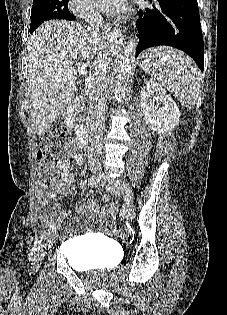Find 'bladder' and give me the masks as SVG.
<instances>
[{
	"mask_svg": "<svg viewBox=\"0 0 227 315\" xmlns=\"http://www.w3.org/2000/svg\"><path fill=\"white\" fill-rule=\"evenodd\" d=\"M67 246L74 248L69 263L79 270H99L115 267L119 263V251L108 239L94 235L69 239Z\"/></svg>",
	"mask_w": 227,
	"mask_h": 315,
	"instance_id": "obj_1",
	"label": "bladder"
}]
</instances>
